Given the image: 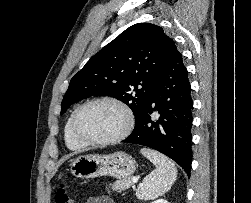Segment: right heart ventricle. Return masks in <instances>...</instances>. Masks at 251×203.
Wrapping results in <instances>:
<instances>
[{"instance_id":"1","label":"right heart ventricle","mask_w":251,"mask_h":203,"mask_svg":"<svg viewBox=\"0 0 251 203\" xmlns=\"http://www.w3.org/2000/svg\"><path fill=\"white\" fill-rule=\"evenodd\" d=\"M72 114L67 118L65 125H64V140L66 146L71 150H81L86 145L78 141L72 134L71 128H70V122H71Z\"/></svg>"}]
</instances>
